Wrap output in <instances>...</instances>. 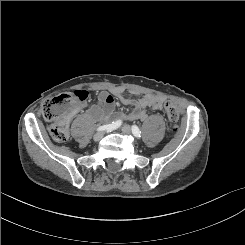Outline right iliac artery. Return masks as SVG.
Instances as JSON below:
<instances>
[{
	"label": "right iliac artery",
	"instance_id": "1",
	"mask_svg": "<svg viewBox=\"0 0 245 245\" xmlns=\"http://www.w3.org/2000/svg\"><path fill=\"white\" fill-rule=\"evenodd\" d=\"M121 124H122L121 120L113 121L111 124L99 126L97 128V131H103V130L111 131V130H114V129L120 127Z\"/></svg>",
	"mask_w": 245,
	"mask_h": 245
}]
</instances>
